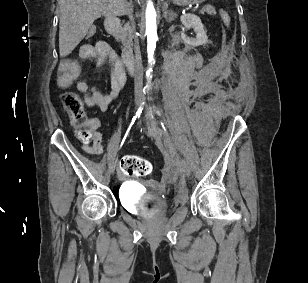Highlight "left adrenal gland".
I'll list each match as a JSON object with an SVG mask.
<instances>
[{"label": "left adrenal gland", "instance_id": "1", "mask_svg": "<svg viewBox=\"0 0 308 283\" xmlns=\"http://www.w3.org/2000/svg\"><path fill=\"white\" fill-rule=\"evenodd\" d=\"M163 16H164L165 20L169 23H171L176 17L175 12L168 11V3L167 2H163Z\"/></svg>", "mask_w": 308, "mask_h": 283}]
</instances>
